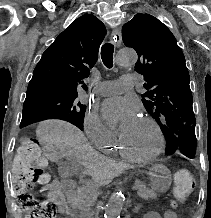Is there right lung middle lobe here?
Listing matches in <instances>:
<instances>
[{
	"label": "right lung middle lobe",
	"instance_id": "dd1d6c3e",
	"mask_svg": "<svg viewBox=\"0 0 211 218\" xmlns=\"http://www.w3.org/2000/svg\"><path fill=\"white\" fill-rule=\"evenodd\" d=\"M78 95L53 96L24 102L20 127L45 119L66 120L83 129L86 106L77 99Z\"/></svg>",
	"mask_w": 211,
	"mask_h": 218
}]
</instances>
